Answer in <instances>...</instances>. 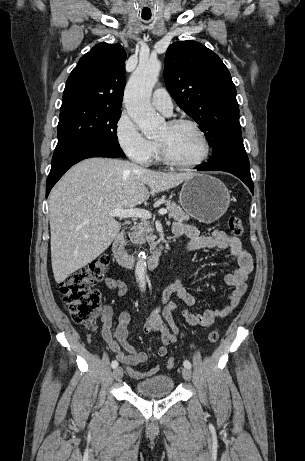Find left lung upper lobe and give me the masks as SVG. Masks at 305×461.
<instances>
[{
    "mask_svg": "<svg viewBox=\"0 0 305 461\" xmlns=\"http://www.w3.org/2000/svg\"><path fill=\"white\" fill-rule=\"evenodd\" d=\"M164 78L171 96L212 146L207 163L218 162L230 138L241 135L236 88L227 67L204 45L180 41L167 49Z\"/></svg>",
    "mask_w": 305,
    "mask_h": 461,
    "instance_id": "obj_1",
    "label": "left lung upper lobe"
}]
</instances>
